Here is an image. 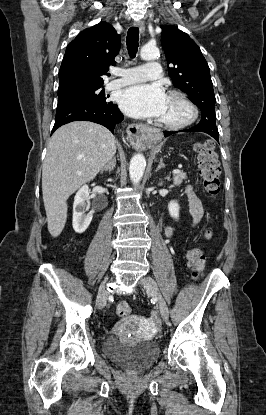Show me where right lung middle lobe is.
Segmentation results:
<instances>
[{"mask_svg":"<svg viewBox=\"0 0 266 415\" xmlns=\"http://www.w3.org/2000/svg\"><path fill=\"white\" fill-rule=\"evenodd\" d=\"M102 87H87L58 93V104L66 102H86L106 105L110 102L106 100L108 96L104 94Z\"/></svg>","mask_w":266,"mask_h":415,"instance_id":"obj_1","label":"right lung middle lobe"}]
</instances>
